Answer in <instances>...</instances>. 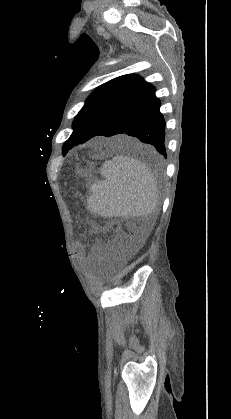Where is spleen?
Segmentation results:
<instances>
[{
    "mask_svg": "<svg viewBox=\"0 0 231 419\" xmlns=\"http://www.w3.org/2000/svg\"><path fill=\"white\" fill-rule=\"evenodd\" d=\"M104 180L92 186L88 199L91 212L105 217L149 216L156 210L159 191L153 172L129 156H115L104 162Z\"/></svg>",
    "mask_w": 231,
    "mask_h": 419,
    "instance_id": "spleen-1",
    "label": "spleen"
}]
</instances>
